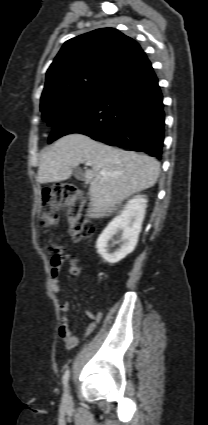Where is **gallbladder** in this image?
Listing matches in <instances>:
<instances>
[{"label": "gallbladder", "instance_id": "gallbladder-1", "mask_svg": "<svg viewBox=\"0 0 208 425\" xmlns=\"http://www.w3.org/2000/svg\"><path fill=\"white\" fill-rule=\"evenodd\" d=\"M73 173L78 180H84V173L81 169L75 168Z\"/></svg>", "mask_w": 208, "mask_h": 425}]
</instances>
